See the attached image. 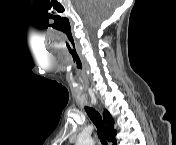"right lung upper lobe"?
Returning a JSON list of instances; mask_svg holds the SVG:
<instances>
[{"mask_svg":"<svg viewBox=\"0 0 176 145\" xmlns=\"http://www.w3.org/2000/svg\"><path fill=\"white\" fill-rule=\"evenodd\" d=\"M103 118L107 127V132L105 133V136L108 141H111L113 142V144H116V131L114 130V121L107 110L104 111Z\"/></svg>","mask_w":176,"mask_h":145,"instance_id":"1","label":"right lung upper lobe"}]
</instances>
